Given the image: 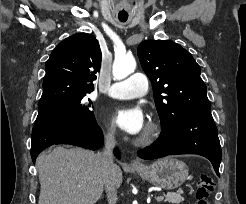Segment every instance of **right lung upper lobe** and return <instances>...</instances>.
<instances>
[{
	"label": "right lung upper lobe",
	"mask_w": 246,
	"mask_h": 204,
	"mask_svg": "<svg viewBox=\"0 0 246 204\" xmlns=\"http://www.w3.org/2000/svg\"><path fill=\"white\" fill-rule=\"evenodd\" d=\"M101 66L96 38L87 33L72 35L59 43L46 62L40 101L68 93H89Z\"/></svg>",
	"instance_id": "right-lung-upper-lobe-1"
}]
</instances>
